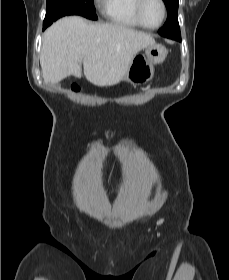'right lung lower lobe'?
I'll use <instances>...</instances> for the list:
<instances>
[{
  "label": "right lung lower lobe",
  "mask_w": 229,
  "mask_h": 280,
  "mask_svg": "<svg viewBox=\"0 0 229 280\" xmlns=\"http://www.w3.org/2000/svg\"><path fill=\"white\" fill-rule=\"evenodd\" d=\"M46 27H47V25L43 23V30H44Z\"/></svg>",
  "instance_id": "1"
}]
</instances>
